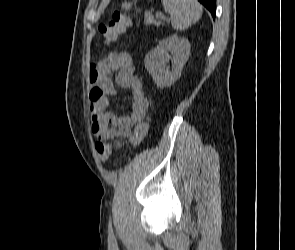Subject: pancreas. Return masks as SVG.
<instances>
[{
	"mask_svg": "<svg viewBox=\"0 0 295 250\" xmlns=\"http://www.w3.org/2000/svg\"><path fill=\"white\" fill-rule=\"evenodd\" d=\"M144 23L146 25H150V24L156 23L155 22V19H154V16L152 15V12L148 11V12L145 13Z\"/></svg>",
	"mask_w": 295,
	"mask_h": 250,
	"instance_id": "obj_1",
	"label": "pancreas"
}]
</instances>
